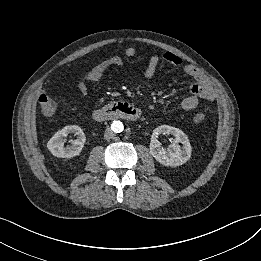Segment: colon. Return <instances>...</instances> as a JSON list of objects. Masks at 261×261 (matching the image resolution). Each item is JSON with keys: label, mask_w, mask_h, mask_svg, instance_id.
<instances>
[{"label": "colon", "mask_w": 261, "mask_h": 261, "mask_svg": "<svg viewBox=\"0 0 261 261\" xmlns=\"http://www.w3.org/2000/svg\"><path fill=\"white\" fill-rule=\"evenodd\" d=\"M210 85L209 79L204 75L200 80L195 81L190 86V91L192 94H199L204 92ZM38 102L40 104V107L42 111L45 114H52L55 112L57 107V101L56 99L49 93H41L38 96ZM195 121L198 123H201L205 120V116L202 113H197L194 117Z\"/></svg>", "instance_id": "colon-1"}]
</instances>
